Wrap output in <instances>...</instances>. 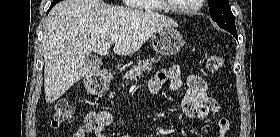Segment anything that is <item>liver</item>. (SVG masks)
<instances>
[{
    "label": "liver",
    "instance_id": "obj_1",
    "mask_svg": "<svg viewBox=\"0 0 280 137\" xmlns=\"http://www.w3.org/2000/svg\"><path fill=\"white\" fill-rule=\"evenodd\" d=\"M176 26L159 13L143 12L101 0H63L47 17L42 53L47 103L60 98L90 70L84 60L93 51L106 55L110 40L118 35L114 53L128 56L138 51L156 32Z\"/></svg>",
    "mask_w": 280,
    "mask_h": 137
}]
</instances>
